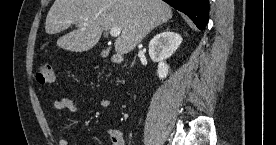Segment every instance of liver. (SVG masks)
<instances>
[{"instance_id":"1","label":"liver","mask_w":276,"mask_h":145,"mask_svg":"<svg viewBox=\"0 0 276 145\" xmlns=\"http://www.w3.org/2000/svg\"><path fill=\"white\" fill-rule=\"evenodd\" d=\"M171 18V7L162 0H55L45 31L55 34L74 23L77 29L60 37L57 45L83 52L98 43L103 31L117 27L121 33L115 40V51L123 55Z\"/></svg>"}]
</instances>
